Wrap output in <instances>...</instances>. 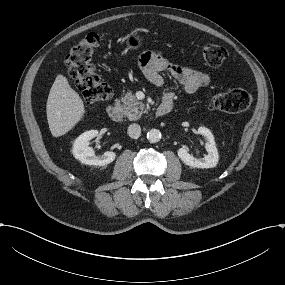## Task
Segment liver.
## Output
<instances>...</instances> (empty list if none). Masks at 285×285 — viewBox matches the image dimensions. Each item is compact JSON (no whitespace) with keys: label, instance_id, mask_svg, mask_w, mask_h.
<instances>
[{"label":"liver","instance_id":"6515ba94","mask_svg":"<svg viewBox=\"0 0 285 285\" xmlns=\"http://www.w3.org/2000/svg\"><path fill=\"white\" fill-rule=\"evenodd\" d=\"M47 120L54 137L70 131L83 117L84 104L79 94L73 90L66 77L59 74L49 92Z\"/></svg>","mask_w":285,"mask_h":285}]
</instances>
